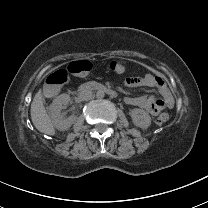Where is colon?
<instances>
[{"label":"colon","mask_w":208,"mask_h":208,"mask_svg":"<svg viewBox=\"0 0 208 208\" xmlns=\"http://www.w3.org/2000/svg\"><path fill=\"white\" fill-rule=\"evenodd\" d=\"M67 70L69 73L73 72V67L71 64L68 66ZM110 70L115 74H123L127 70V64L121 58L115 59L110 63ZM168 120L169 116L167 113H161L160 115L154 118V122L156 125H164L168 122Z\"/></svg>","instance_id":"obj_1"}]
</instances>
